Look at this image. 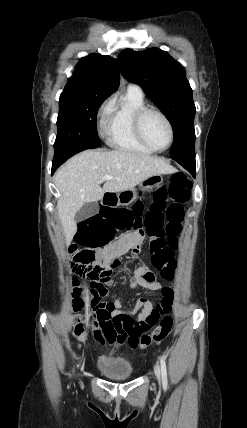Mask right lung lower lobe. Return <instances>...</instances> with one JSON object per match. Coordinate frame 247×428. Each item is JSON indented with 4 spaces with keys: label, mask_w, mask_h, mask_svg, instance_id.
Wrapping results in <instances>:
<instances>
[{
    "label": "right lung lower lobe",
    "mask_w": 247,
    "mask_h": 428,
    "mask_svg": "<svg viewBox=\"0 0 247 428\" xmlns=\"http://www.w3.org/2000/svg\"><path fill=\"white\" fill-rule=\"evenodd\" d=\"M83 151V149H62L55 151L52 162V175L56 169L73 155Z\"/></svg>",
    "instance_id": "obj_1"
}]
</instances>
